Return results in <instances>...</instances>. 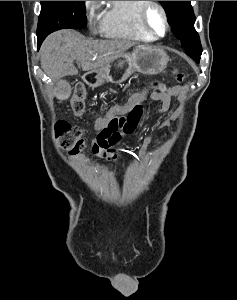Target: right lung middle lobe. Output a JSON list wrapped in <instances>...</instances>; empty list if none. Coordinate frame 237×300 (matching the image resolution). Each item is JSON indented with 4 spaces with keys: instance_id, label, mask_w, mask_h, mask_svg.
Instances as JSON below:
<instances>
[{
    "instance_id": "right-lung-middle-lobe-1",
    "label": "right lung middle lobe",
    "mask_w": 237,
    "mask_h": 300,
    "mask_svg": "<svg viewBox=\"0 0 237 300\" xmlns=\"http://www.w3.org/2000/svg\"><path fill=\"white\" fill-rule=\"evenodd\" d=\"M85 12L84 1H41L37 28L38 47L53 31L85 28Z\"/></svg>"
}]
</instances>
